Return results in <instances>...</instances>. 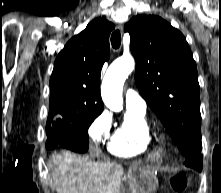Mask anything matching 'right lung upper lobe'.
<instances>
[{
  "mask_svg": "<svg viewBox=\"0 0 221 193\" xmlns=\"http://www.w3.org/2000/svg\"><path fill=\"white\" fill-rule=\"evenodd\" d=\"M113 29L112 23L97 18L59 53L50 78L49 115L68 117L103 111L100 74L110 57Z\"/></svg>",
  "mask_w": 221,
  "mask_h": 193,
  "instance_id": "right-lung-upper-lobe-1",
  "label": "right lung upper lobe"
}]
</instances>
